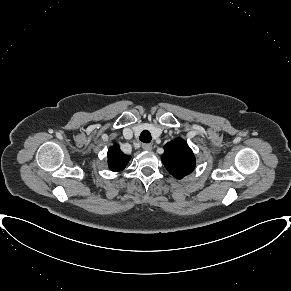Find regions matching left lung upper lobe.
Returning a JSON list of instances; mask_svg holds the SVG:
<instances>
[{
  "label": "left lung upper lobe",
  "instance_id": "5c2ea615",
  "mask_svg": "<svg viewBox=\"0 0 291 291\" xmlns=\"http://www.w3.org/2000/svg\"><path fill=\"white\" fill-rule=\"evenodd\" d=\"M161 159L168 172L178 179L190 174L195 168V156L182 138L167 143Z\"/></svg>",
  "mask_w": 291,
  "mask_h": 291
}]
</instances>
